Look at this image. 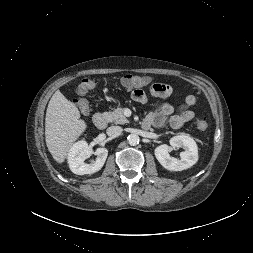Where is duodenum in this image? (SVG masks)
Returning a JSON list of instances; mask_svg holds the SVG:
<instances>
[{
    "label": "duodenum",
    "mask_w": 253,
    "mask_h": 253,
    "mask_svg": "<svg viewBox=\"0 0 253 253\" xmlns=\"http://www.w3.org/2000/svg\"><path fill=\"white\" fill-rule=\"evenodd\" d=\"M93 125L98 129H104L107 125L106 118L102 114H95L92 118ZM150 126L148 123L143 122V128L148 129Z\"/></svg>",
    "instance_id": "obj_1"
}]
</instances>
